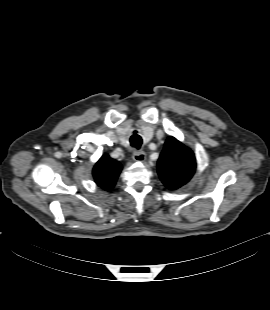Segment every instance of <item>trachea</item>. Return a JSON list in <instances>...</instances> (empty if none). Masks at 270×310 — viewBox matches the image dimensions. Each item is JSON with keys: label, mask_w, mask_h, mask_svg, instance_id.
Returning a JSON list of instances; mask_svg holds the SVG:
<instances>
[{"label": "trachea", "mask_w": 270, "mask_h": 310, "mask_svg": "<svg viewBox=\"0 0 270 310\" xmlns=\"http://www.w3.org/2000/svg\"><path fill=\"white\" fill-rule=\"evenodd\" d=\"M141 144H142L141 136L138 135L136 131H134L133 135L130 137V145L138 150L141 147Z\"/></svg>", "instance_id": "3493384b"}]
</instances>
